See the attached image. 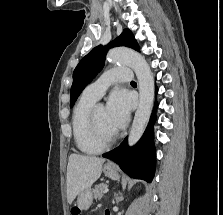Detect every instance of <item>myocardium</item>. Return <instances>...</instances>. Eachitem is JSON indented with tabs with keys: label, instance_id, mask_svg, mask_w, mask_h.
<instances>
[{
	"label": "myocardium",
	"instance_id": "f54148a6",
	"mask_svg": "<svg viewBox=\"0 0 223 215\" xmlns=\"http://www.w3.org/2000/svg\"><path fill=\"white\" fill-rule=\"evenodd\" d=\"M90 134H91V139L93 143L100 149V150H106L109 149L117 144V142L120 139V135L117 131L115 136L113 137L112 140L110 141H105L99 124L97 120V108H94L91 113V118H90Z\"/></svg>",
	"mask_w": 223,
	"mask_h": 215
}]
</instances>
